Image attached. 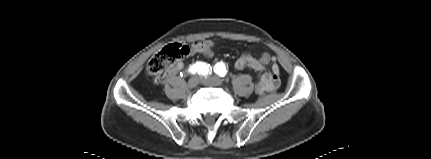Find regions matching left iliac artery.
Instances as JSON below:
<instances>
[{
	"label": "left iliac artery",
	"instance_id": "44dca946",
	"mask_svg": "<svg viewBox=\"0 0 431 159\" xmlns=\"http://www.w3.org/2000/svg\"><path fill=\"white\" fill-rule=\"evenodd\" d=\"M214 72L221 77H224L227 74L226 66L223 62H218L214 67Z\"/></svg>",
	"mask_w": 431,
	"mask_h": 159
}]
</instances>
